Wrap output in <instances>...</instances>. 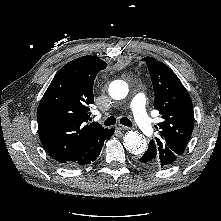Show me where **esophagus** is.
<instances>
[{"instance_id":"34e87169","label":"esophagus","mask_w":221,"mask_h":221,"mask_svg":"<svg viewBox=\"0 0 221 221\" xmlns=\"http://www.w3.org/2000/svg\"><path fill=\"white\" fill-rule=\"evenodd\" d=\"M116 129L117 130H128L129 128L128 127H126V126H123V125H121V124H116Z\"/></svg>"}]
</instances>
